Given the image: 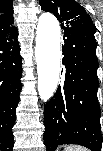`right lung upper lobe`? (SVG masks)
Returning a JSON list of instances; mask_svg holds the SVG:
<instances>
[{"label": "right lung upper lobe", "mask_w": 103, "mask_h": 151, "mask_svg": "<svg viewBox=\"0 0 103 151\" xmlns=\"http://www.w3.org/2000/svg\"><path fill=\"white\" fill-rule=\"evenodd\" d=\"M12 0H1L0 1V35L9 34L17 28L13 26V10H12Z\"/></svg>", "instance_id": "obj_1"}]
</instances>
